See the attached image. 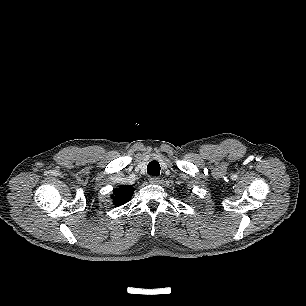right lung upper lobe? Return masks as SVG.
<instances>
[{"mask_svg":"<svg viewBox=\"0 0 306 306\" xmlns=\"http://www.w3.org/2000/svg\"><path fill=\"white\" fill-rule=\"evenodd\" d=\"M133 189L131 186H120L119 188L113 191V195L111 196L113 199V204L115 206H121L127 203L133 194Z\"/></svg>","mask_w":306,"mask_h":306,"instance_id":"1","label":"right lung upper lobe"}]
</instances>
